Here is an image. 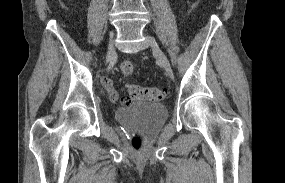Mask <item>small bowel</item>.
<instances>
[{
  "mask_svg": "<svg viewBox=\"0 0 285 183\" xmlns=\"http://www.w3.org/2000/svg\"><path fill=\"white\" fill-rule=\"evenodd\" d=\"M102 85L104 86L105 90L108 92V94H109V96L111 97L112 100L115 101V100L118 99V94L115 91L111 81L108 78H103L102 79ZM123 99H122V101H123Z\"/></svg>",
  "mask_w": 285,
  "mask_h": 183,
  "instance_id": "c3829d8e",
  "label": "small bowel"
}]
</instances>
